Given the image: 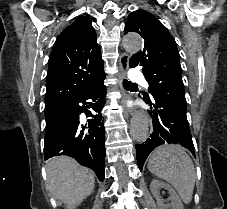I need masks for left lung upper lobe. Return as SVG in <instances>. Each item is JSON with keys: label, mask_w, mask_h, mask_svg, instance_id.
<instances>
[{"label": "left lung upper lobe", "mask_w": 227, "mask_h": 209, "mask_svg": "<svg viewBox=\"0 0 227 209\" xmlns=\"http://www.w3.org/2000/svg\"><path fill=\"white\" fill-rule=\"evenodd\" d=\"M136 32L144 47L130 59L129 66L142 67L151 100H167L186 110L182 68L176 42L165 26L150 12L136 10L127 17L124 34ZM145 102L151 101L144 93Z\"/></svg>", "instance_id": "5c2ea615"}]
</instances>
